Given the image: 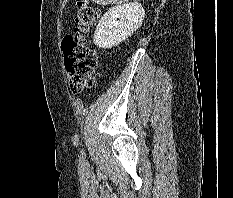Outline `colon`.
<instances>
[{
  "mask_svg": "<svg viewBox=\"0 0 233 198\" xmlns=\"http://www.w3.org/2000/svg\"><path fill=\"white\" fill-rule=\"evenodd\" d=\"M99 18V11L88 0H79L74 34L62 42L65 68L70 88L74 93L90 88L95 82L98 57L87 44L86 38Z\"/></svg>",
  "mask_w": 233,
  "mask_h": 198,
  "instance_id": "5ec220e1",
  "label": "colon"
}]
</instances>
